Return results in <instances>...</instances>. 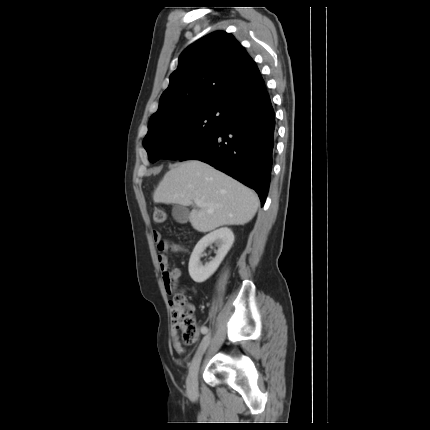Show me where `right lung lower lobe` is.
<instances>
[{
    "mask_svg": "<svg viewBox=\"0 0 430 430\" xmlns=\"http://www.w3.org/2000/svg\"><path fill=\"white\" fill-rule=\"evenodd\" d=\"M221 129L180 161L210 164L254 189L263 206L269 190L276 139L275 113L264 81L224 106Z\"/></svg>",
    "mask_w": 430,
    "mask_h": 430,
    "instance_id": "1",
    "label": "right lung lower lobe"
}]
</instances>
